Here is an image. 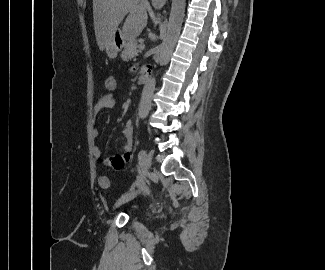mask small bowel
Returning a JSON list of instances; mask_svg holds the SVG:
<instances>
[{
	"mask_svg": "<svg viewBox=\"0 0 325 270\" xmlns=\"http://www.w3.org/2000/svg\"><path fill=\"white\" fill-rule=\"evenodd\" d=\"M117 99L113 93H107L100 96L94 106H93V114L95 122V117L98 113H100L104 109H113L116 107ZM123 136L125 138V143L123 146L124 154L123 155H114L110 158L104 160V163L115 170H120L124 167L126 161L131 159V153L133 149V126L131 121L126 122L122 130ZM99 130L96 127L92 129V137L94 139L98 138ZM93 157L98 159L101 157V149L99 146L95 145L92 151Z\"/></svg>",
	"mask_w": 325,
	"mask_h": 270,
	"instance_id": "small-bowel-1",
	"label": "small bowel"
}]
</instances>
